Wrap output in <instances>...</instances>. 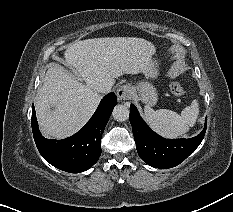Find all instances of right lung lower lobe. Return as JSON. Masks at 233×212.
<instances>
[{
	"mask_svg": "<svg viewBox=\"0 0 233 212\" xmlns=\"http://www.w3.org/2000/svg\"><path fill=\"white\" fill-rule=\"evenodd\" d=\"M116 105V95L107 94L87 124L73 136L62 140H50L41 135L32 106V131L42 157L54 167L70 173L91 168L101 155V135Z\"/></svg>",
	"mask_w": 233,
	"mask_h": 212,
	"instance_id": "98d812e1",
	"label": "right lung lower lobe"
}]
</instances>
